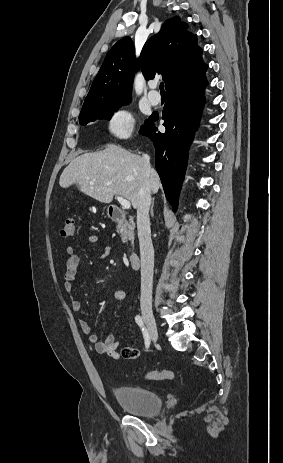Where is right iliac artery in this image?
I'll use <instances>...</instances> for the list:
<instances>
[{"label": "right iliac artery", "mask_w": 283, "mask_h": 463, "mask_svg": "<svg viewBox=\"0 0 283 463\" xmlns=\"http://www.w3.org/2000/svg\"><path fill=\"white\" fill-rule=\"evenodd\" d=\"M135 321L142 330L143 337H144V340H145V346L149 347V345H150V336H149V333H148V331H147V329H146V327L144 325V322H143L141 316L137 315L135 317Z\"/></svg>", "instance_id": "obj_1"}]
</instances>
